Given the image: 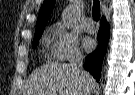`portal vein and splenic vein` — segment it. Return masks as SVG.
<instances>
[{"mask_svg": "<svg viewBox=\"0 0 135 95\" xmlns=\"http://www.w3.org/2000/svg\"><path fill=\"white\" fill-rule=\"evenodd\" d=\"M60 94H61V95L63 94L62 91H60Z\"/></svg>", "mask_w": 135, "mask_h": 95, "instance_id": "1", "label": "portal vein and splenic vein"}]
</instances>
